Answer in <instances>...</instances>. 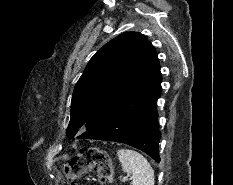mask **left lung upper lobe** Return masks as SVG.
Masks as SVG:
<instances>
[{
	"mask_svg": "<svg viewBox=\"0 0 233 185\" xmlns=\"http://www.w3.org/2000/svg\"><path fill=\"white\" fill-rule=\"evenodd\" d=\"M158 64L155 48L140 33L125 32L105 44L74 88L67 136L97 126L115 102Z\"/></svg>",
	"mask_w": 233,
	"mask_h": 185,
	"instance_id": "5c2ea615",
	"label": "left lung upper lobe"
}]
</instances>
